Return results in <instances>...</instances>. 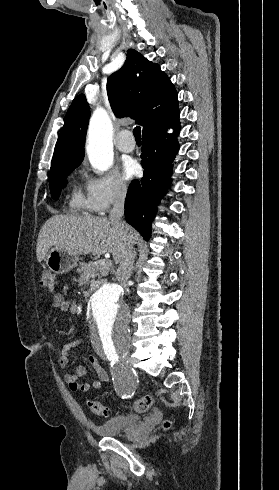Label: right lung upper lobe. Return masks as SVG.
I'll return each instance as SVG.
<instances>
[{"mask_svg":"<svg viewBox=\"0 0 279 490\" xmlns=\"http://www.w3.org/2000/svg\"><path fill=\"white\" fill-rule=\"evenodd\" d=\"M107 94L114 114L135 119L143 126V135L155 133L178 120V99L173 84L157 64L134 49L127 51L123 67L108 78ZM89 117L86 98L78 95L66 114L50 172L82 162Z\"/></svg>","mask_w":279,"mask_h":490,"instance_id":"obj_1","label":"right lung upper lobe"}]
</instances>
